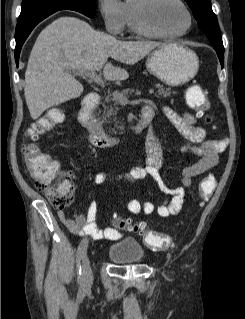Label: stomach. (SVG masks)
<instances>
[{"instance_id":"1","label":"stomach","mask_w":245,"mask_h":319,"mask_svg":"<svg viewBox=\"0 0 245 319\" xmlns=\"http://www.w3.org/2000/svg\"><path fill=\"white\" fill-rule=\"evenodd\" d=\"M146 67L164 83L179 86L196 75L199 60L188 47L180 43H168L148 55Z\"/></svg>"}]
</instances>
